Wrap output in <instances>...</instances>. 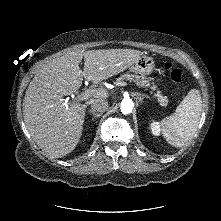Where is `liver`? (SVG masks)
<instances>
[{
  "label": "liver",
  "mask_w": 221,
  "mask_h": 221,
  "mask_svg": "<svg viewBox=\"0 0 221 221\" xmlns=\"http://www.w3.org/2000/svg\"><path fill=\"white\" fill-rule=\"evenodd\" d=\"M143 52L133 49L76 50L53 59L30 82L23 101V117L34 142L53 158L71 153L80 141L87 105L67 102L83 78L98 84L126 70ZM84 58V71L79 63ZM89 103L107 99L105 88L92 91Z\"/></svg>",
  "instance_id": "liver-1"
}]
</instances>
